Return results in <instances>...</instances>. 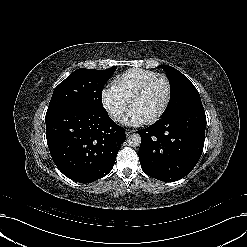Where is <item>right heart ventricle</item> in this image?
I'll use <instances>...</instances> for the list:
<instances>
[{"label": "right heart ventricle", "instance_id": "obj_1", "mask_svg": "<svg viewBox=\"0 0 247 247\" xmlns=\"http://www.w3.org/2000/svg\"><path fill=\"white\" fill-rule=\"evenodd\" d=\"M157 76V72L135 69L119 77L113 87L115 94L124 102H129L138 89L148 80Z\"/></svg>", "mask_w": 247, "mask_h": 247}]
</instances>
